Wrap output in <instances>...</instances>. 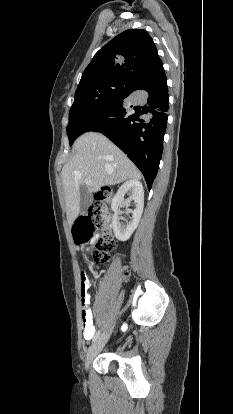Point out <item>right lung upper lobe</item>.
I'll use <instances>...</instances> for the list:
<instances>
[{
  "instance_id": "right-lung-upper-lobe-1",
  "label": "right lung upper lobe",
  "mask_w": 233,
  "mask_h": 414,
  "mask_svg": "<svg viewBox=\"0 0 233 414\" xmlns=\"http://www.w3.org/2000/svg\"><path fill=\"white\" fill-rule=\"evenodd\" d=\"M163 70L156 46L148 32L130 29L102 47L82 73L80 89L106 79L136 81Z\"/></svg>"
}]
</instances>
